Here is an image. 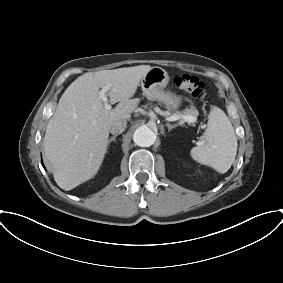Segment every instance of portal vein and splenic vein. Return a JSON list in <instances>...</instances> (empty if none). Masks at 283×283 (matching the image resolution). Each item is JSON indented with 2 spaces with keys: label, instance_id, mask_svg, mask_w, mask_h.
<instances>
[{
  "label": "portal vein and splenic vein",
  "instance_id": "obj_1",
  "mask_svg": "<svg viewBox=\"0 0 283 283\" xmlns=\"http://www.w3.org/2000/svg\"><path fill=\"white\" fill-rule=\"evenodd\" d=\"M111 88V84H108L106 86H104L100 92L99 95L102 99V101L104 102V107L106 110H110L112 107L109 103V100L107 98L106 92ZM183 120L184 122H188V123H194L196 121V117H193L191 115H172L170 117H168V121H176V120Z\"/></svg>",
  "mask_w": 283,
  "mask_h": 283
}]
</instances>
